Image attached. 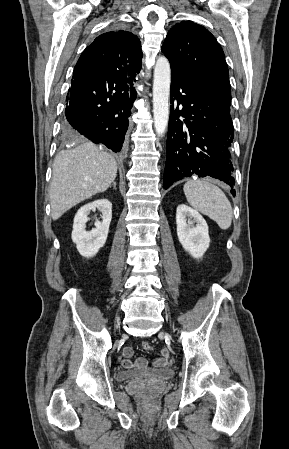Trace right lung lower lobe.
Instances as JSON below:
<instances>
[{"instance_id": "right-lung-lower-lobe-1", "label": "right lung lower lobe", "mask_w": 289, "mask_h": 449, "mask_svg": "<svg viewBox=\"0 0 289 449\" xmlns=\"http://www.w3.org/2000/svg\"><path fill=\"white\" fill-rule=\"evenodd\" d=\"M134 82L135 77L107 82L72 78L63 124L66 133L119 152L137 96Z\"/></svg>"}]
</instances>
